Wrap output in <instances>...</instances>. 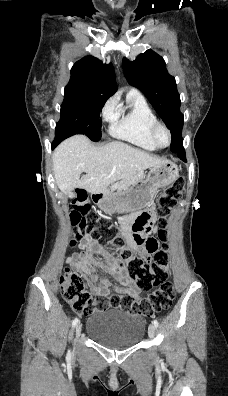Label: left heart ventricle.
I'll list each match as a JSON object with an SVG mask.
<instances>
[{
    "mask_svg": "<svg viewBox=\"0 0 228 396\" xmlns=\"http://www.w3.org/2000/svg\"><path fill=\"white\" fill-rule=\"evenodd\" d=\"M157 143L161 146H165L168 142L167 134L164 130H159L156 134Z\"/></svg>",
    "mask_w": 228,
    "mask_h": 396,
    "instance_id": "b2bd125f",
    "label": "left heart ventricle"
}]
</instances>
